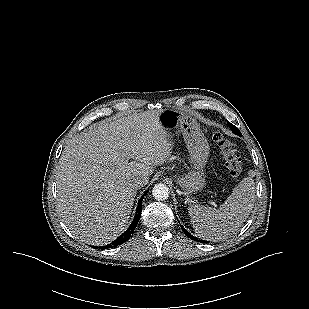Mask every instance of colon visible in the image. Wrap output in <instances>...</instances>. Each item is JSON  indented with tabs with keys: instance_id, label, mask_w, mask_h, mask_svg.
<instances>
[{
	"instance_id": "obj_1",
	"label": "colon",
	"mask_w": 309,
	"mask_h": 309,
	"mask_svg": "<svg viewBox=\"0 0 309 309\" xmlns=\"http://www.w3.org/2000/svg\"><path fill=\"white\" fill-rule=\"evenodd\" d=\"M213 140L223 155L228 174L238 178L242 172V161L236 146L220 132L213 134Z\"/></svg>"
}]
</instances>
